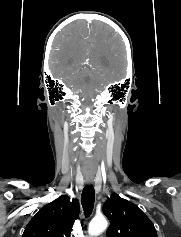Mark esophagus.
Masks as SVG:
<instances>
[{"instance_id": "esophagus-1", "label": "esophagus", "mask_w": 181, "mask_h": 237, "mask_svg": "<svg viewBox=\"0 0 181 237\" xmlns=\"http://www.w3.org/2000/svg\"><path fill=\"white\" fill-rule=\"evenodd\" d=\"M87 182H88V183H92V182H93V179L89 178V179H87Z\"/></svg>"}]
</instances>
